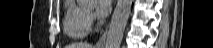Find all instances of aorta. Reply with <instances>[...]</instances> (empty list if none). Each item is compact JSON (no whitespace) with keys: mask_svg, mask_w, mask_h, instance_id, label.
Listing matches in <instances>:
<instances>
[{"mask_svg":"<svg viewBox=\"0 0 213 48\" xmlns=\"http://www.w3.org/2000/svg\"><path fill=\"white\" fill-rule=\"evenodd\" d=\"M94 2L96 0H80ZM133 0H118L114 9L109 29L106 34L105 48H120L127 25Z\"/></svg>","mask_w":213,"mask_h":48,"instance_id":"1","label":"aorta"}]
</instances>
